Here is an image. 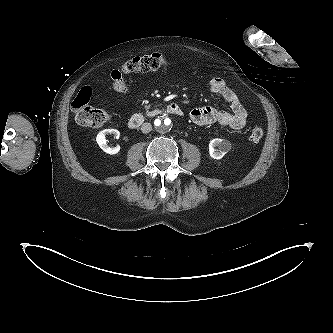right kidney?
<instances>
[{
    "instance_id": "right-kidney-1",
    "label": "right kidney",
    "mask_w": 333,
    "mask_h": 333,
    "mask_svg": "<svg viewBox=\"0 0 333 333\" xmlns=\"http://www.w3.org/2000/svg\"><path fill=\"white\" fill-rule=\"evenodd\" d=\"M113 134L116 138H119V131L116 130V129H105V130H102L101 132H99L96 136V141L98 143V145L100 146V148L110 154V155H113V154H117L119 151H120V146H116V147H110L107 142H106V135L107 134Z\"/></svg>"
}]
</instances>
